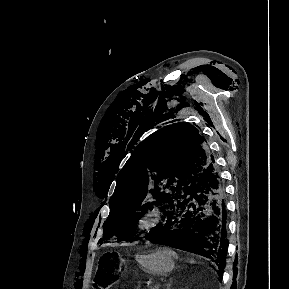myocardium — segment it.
<instances>
[{
  "instance_id": "myocardium-1",
  "label": "myocardium",
  "mask_w": 289,
  "mask_h": 289,
  "mask_svg": "<svg viewBox=\"0 0 289 289\" xmlns=\"http://www.w3.org/2000/svg\"><path fill=\"white\" fill-rule=\"evenodd\" d=\"M162 216L163 212L159 207H152L142 214L137 227L141 231H149L161 224Z\"/></svg>"
}]
</instances>
